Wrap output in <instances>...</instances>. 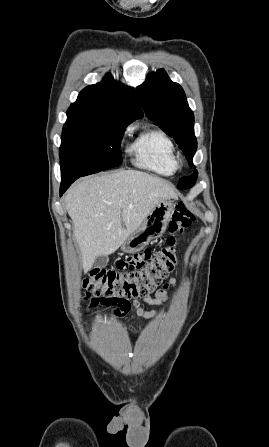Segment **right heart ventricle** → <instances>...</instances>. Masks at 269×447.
<instances>
[{"label":"right heart ventricle","mask_w":269,"mask_h":447,"mask_svg":"<svg viewBox=\"0 0 269 447\" xmlns=\"http://www.w3.org/2000/svg\"><path fill=\"white\" fill-rule=\"evenodd\" d=\"M133 163L137 167L168 176L178 168L177 154L172 139L161 129H151L130 146Z\"/></svg>","instance_id":"obj_1"}]
</instances>
